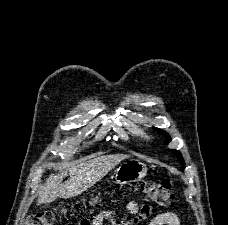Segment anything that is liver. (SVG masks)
Masks as SVG:
<instances>
[{
  "label": "liver",
  "mask_w": 228,
  "mask_h": 225,
  "mask_svg": "<svg viewBox=\"0 0 228 225\" xmlns=\"http://www.w3.org/2000/svg\"><path fill=\"white\" fill-rule=\"evenodd\" d=\"M124 159H128L127 155H103V157H96V159L79 163V165H70L67 171L59 173V175H50L39 193L37 205L52 203L58 197L72 199V197L81 195L103 179L113 167L119 165L120 161H124ZM67 175L70 179L62 183Z\"/></svg>",
  "instance_id": "liver-1"
}]
</instances>
